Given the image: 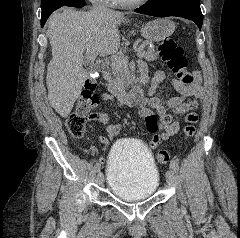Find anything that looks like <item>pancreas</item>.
Wrapping results in <instances>:
<instances>
[{
	"mask_svg": "<svg viewBox=\"0 0 240 238\" xmlns=\"http://www.w3.org/2000/svg\"><path fill=\"white\" fill-rule=\"evenodd\" d=\"M141 54V58H144L146 61H154L157 59V53L155 52L154 47H147L146 50L141 51ZM115 59H121L122 62L111 65V73L105 74L104 77L109 85L127 86L128 79L130 78V71L128 68V61H125L126 56L124 52H120Z\"/></svg>",
	"mask_w": 240,
	"mask_h": 238,
	"instance_id": "cf45deb5",
	"label": "pancreas"
}]
</instances>
